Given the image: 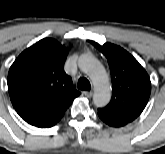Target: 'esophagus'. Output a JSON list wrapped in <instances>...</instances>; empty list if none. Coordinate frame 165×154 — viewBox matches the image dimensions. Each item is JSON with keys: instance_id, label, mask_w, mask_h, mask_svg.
I'll use <instances>...</instances> for the list:
<instances>
[{"instance_id": "34e87169", "label": "esophagus", "mask_w": 165, "mask_h": 154, "mask_svg": "<svg viewBox=\"0 0 165 154\" xmlns=\"http://www.w3.org/2000/svg\"><path fill=\"white\" fill-rule=\"evenodd\" d=\"M84 95H85L87 98H91L92 95H93V92H92V91H86V92L84 93Z\"/></svg>"}]
</instances>
